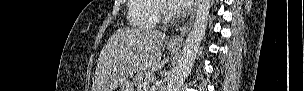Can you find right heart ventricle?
Here are the masks:
<instances>
[{"label": "right heart ventricle", "instance_id": "e07e8e85", "mask_svg": "<svg viewBox=\"0 0 304 91\" xmlns=\"http://www.w3.org/2000/svg\"><path fill=\"white\" fill-rule=\"evenodd\" d=\"M158 0H129L127 19L131 26L142 29L154 28L158 24Z\"/></svg>", "mask_w": 304, "mask_h": 91}]
</instances>
